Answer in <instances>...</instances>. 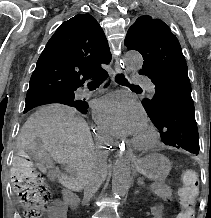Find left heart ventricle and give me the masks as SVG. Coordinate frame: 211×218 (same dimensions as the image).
<instances>
[{
	"instance_id": "1",
	"label": "left heart ventricle",
	"mask_w": 211,
	"mask_h": 218,
	"mask_svg": "<svg viewBox=\"0 0 211 218\" xmlns=\"http://www.w3.org/2000/svg\"><path fill=\"white\" fill-rule=\"evenodd\" d=\"M137 136H139V137H141V138H144V133H143V131H141L140 133H138Z\"/></svg>"
}]
</instances>
